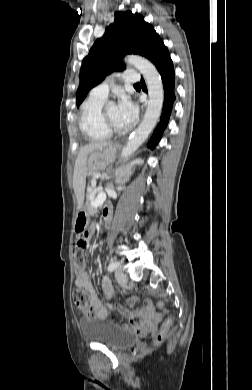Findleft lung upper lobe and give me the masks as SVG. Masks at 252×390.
Instances as JSON below:
<instances>
[{
    "label": "left lung upper lobe",
    "instance_id": "obj_1",
    "mask_svg": "<svg viewBox=\"0 0 252 390\" xmlns=\"http://www.w3.org/2000/svg\"><path fill=\"white\" fill-rule=\"evenodd\" d=\"M162 39L140 14L130 11L116 12L114 23L91 47L83 59L80 83L76 93L77 107L90 89L98 85L105 76L125 69L124 55L138 54L149 59L154 47Z\"/></svg>",
    "mask_w": 252,
    "mask_h": 390
}]
</instances>
